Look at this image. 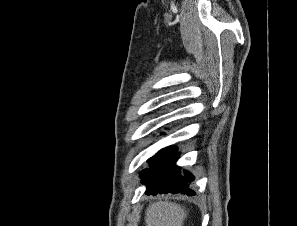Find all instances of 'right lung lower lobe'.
Masks as SVG:
<instances>
[{
	"label": "right lung lower lobe",
	"mask_w": 297,
	"mask_h": 226,
	"mask_svg": "<svg viewBox=\"0 0 297 226\" xmlns=\"http://www.w3.org/2000/svg\"><path fill=\"white\" fill-rule=\"evenodd\" d=\"M178 156L177 148L170 146L160 150L148 160L150 169H144L141 174V182L146 185V194H195L194 191L188 188V183L194 177L186 171L185 175L181 176L180 167L175 165Z\"/></svg>",
	"instance_id": "1"
}]
</instances>
